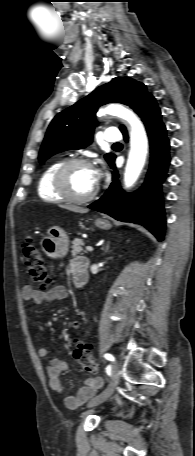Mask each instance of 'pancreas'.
<instances>
[{
	"label": "pancreas",
	"instance_id": "pancreas-1",
	"mask_svg": "<svg viewBox=\"0 0 195 456\" xmlns=\"http://www.w3.org/2000/svg\"><path fill=\"white\" fill-rule=\"evenodd\" d=\"M72 256H76L78 254H84L85 251L83 249V246H84V241L82 239H74L73 242H72Z\"/></svg>",
	"mask_w": 195,
	"mask_h": 456
}]
</instances>
